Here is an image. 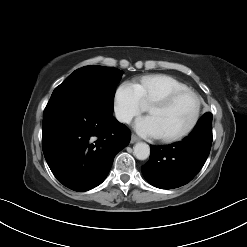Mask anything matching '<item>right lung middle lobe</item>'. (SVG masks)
Listing matches in <instances>:
<instances>
[{"label":"right lung middle lobe","instance_id":"obj_1","mask_svg":"<svg viewBox=\"0 0 247 247\" xmlns=\"http://www.w3.org/2000/svg\"><path fill=\"white\" fill-rule=\"evenodd\" d=\"M122 74L123 71L112 67H82L55 88L49 101L82 98L99 101L112 108L114 90Z\"/></svg>","mask_w":247,"mask_h":247}]
</instances>
